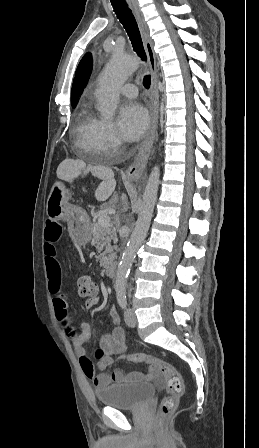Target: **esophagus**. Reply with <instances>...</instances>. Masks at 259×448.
Masks as SVG:
<instances>
[{"label": "esophagus", "mask_w": 259, "mask_h": 448, "mask_svg": "<svg viewBox=\"0 0 259 448\" xmlns=\"http://www.w3.org/2000/svg\"><path fill=\"white\" fill-rule=\"evenodd\" d=\"M126 1L129 7L131 8L133 15L135 16L137 23L139 25L151 73V107H150L151 127L147 133L145 141L143 142L138 152V155L134 163H132V165L128 168L126 172L129 178H131L134 181H137L145 170L146 163L150 155V150L156 136V130L159 118V91L157 86L158 76L156 67V57L154 53L153 42L150 38L147 24L144 20L141 8L139 7L137 0H126Z\"/></svg>", "instance_id": "esophagus-1"}]
</instances>
